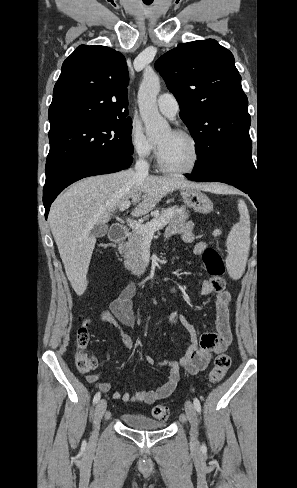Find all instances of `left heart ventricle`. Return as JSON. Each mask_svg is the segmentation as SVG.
Returning <instances> with one entry per match:
<instances>
[{"label": "left heart ventricle", "instance_id": "b2bd125f", "mask_svg": "<svg viewBox=\"0 0 297 488\" xmlns=\"http://www.w3.org/2000/svg\"><path fill=\"white\" fill-rule=\"evenodd\" d=\"M161 158L164 163L175 169L187 168L193 161L194 150L191 143L172 131L162 134L158 140Z\"/></svg>", "mask_w": 297, "mask_h": 488}]
</instances>
